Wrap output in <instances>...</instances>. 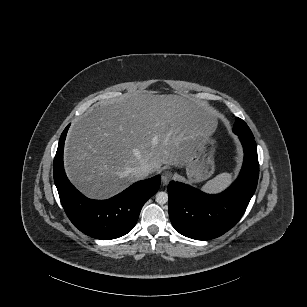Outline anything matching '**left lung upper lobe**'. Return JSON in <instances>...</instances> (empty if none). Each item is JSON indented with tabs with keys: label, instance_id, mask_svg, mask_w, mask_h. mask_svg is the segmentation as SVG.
I'll use <instances>...</instances> for the list:
<instances>
[{
	"label": "left lung upper lobe",
	"instance_id": "left-lung-upper-lobe-1",
	"mask_svg": "<svg viewBox=\"0 0 307 307\" xmlns=\"http://www.w3.org/2000/svg\"><path fill=\"white\" fill-rule=\"evenodd\" d=\"M233 131L235 134H243V135H248L252 136V132L247 126V124L240 118H236V122L233 127Z\"/></svg>",
	"mask_w": 307,
	"mask_h": 307
}]
</instances>
